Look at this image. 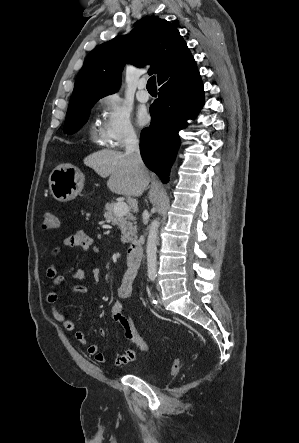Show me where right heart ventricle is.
<instances>
[{
  "mask_svg": "<svg viewBox=\"0 0 299 443\" xmlns=\"http://www.w3.org/2000/svg\"><path fill=\"white\" fill-rule=\"evenodd\" d=\"M93 139H94L95 141H100V142H102L101 138L99 139V138L96 136V134H93Z\"/></svg>",
  "mask_w": 299,
  "mask_h": 443,
  "instance_id": "obj_1",
  "label": "right heart ventricle"
}]
</instances>
